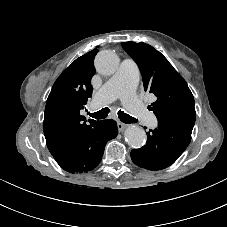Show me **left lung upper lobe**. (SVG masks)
I'll return each instance as SVG.
<instances>
[{
	"label": "left lung upper lobe",
	"instance_id": "1",
	"mask_svg": "<svg viewBox=\"0 0 227 227\" xmlns=\"http://www.w3.org/2000/svg\"><path fill=\"white\" fill-rule=\"evenodd\" d=\"M124 50L137 63L145 91L157 100L149 106L158 122L192 133L196 112L194 97L182 76L163 54L145 43L122 42Z\"/></svg>",
	"mask_w": 227,
	"mask_h": 227
}]
</instances>
